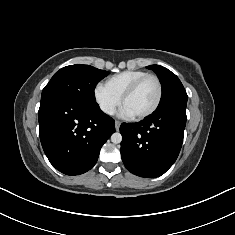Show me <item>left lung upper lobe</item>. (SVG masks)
<instances>
[{
	"label": "left lung upper lobe",
	"mask_w": 235,
	"mask_h": 235,
	"mask_svg": "<svg viewBox=\"0 0 235 235\" xmlns=\"http://www.w3.org/2000/svg\"><path fill=\"white\" fill-rule=\"evenodd\" d=\"M147 68L157 74L162 85V97L156 111L173 106L186 107L188 96L179 78L160 65H150Z\"/></svg>",
	"instance_id": "1"
}]
</instances>
